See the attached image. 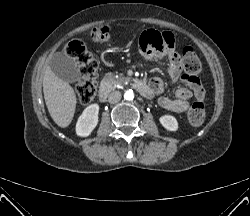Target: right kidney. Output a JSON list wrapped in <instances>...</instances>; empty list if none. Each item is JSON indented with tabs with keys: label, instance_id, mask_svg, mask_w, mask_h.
I'll list each match as a JSON object with an SVG mask.
<instances>
[{
	"label": "right kidney",
	"instance_id": "1",
	"mask_svg": "<svg viewBox=\"0 0 250 216\" xmlns=\"http://www.w3.org/2000/svg\"><path fill=\"white\" fill-rule=\"evenodd\" d=\"M99 105L91 104L78 118L76 134L80 137H87L98 124Z\"/></svg>",
	"mask_w": 250,
	"mask_h": 216
}]
</instances>
